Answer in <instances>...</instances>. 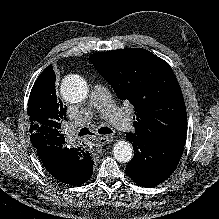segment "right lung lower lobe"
Masks as SVG:
<instances>
[{"instance_id":"98d812e1","label":"right lung lower lobe","mask_w":219,"mask_h":219,"mask_svg":"<svg viewBox=\"0 0 219 219\" xmlns=\"http://www.w3.org/2000/svg\"><path fill=\"white\" fill-rule=\"evenodd\" d=\"M39 157L41 158L47 171L65 184L81 185L86 182L93 173V163L91 156L87 151L72 149L65 147L64 144H43L37 148ZM63 157L71 172L67 175H60L54 170V160L56 157ZM56 161V160H55Z\"/></svg>"}]
</instances>
